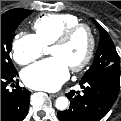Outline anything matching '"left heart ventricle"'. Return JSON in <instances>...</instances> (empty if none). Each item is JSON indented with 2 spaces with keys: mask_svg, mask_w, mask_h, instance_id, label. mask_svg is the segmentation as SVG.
Returning <instances> with one entry per match:
<instances>
[{
  "mask_svg": "<svg viewBox=\"0 0 121 121\" xmlns=\"http://www.w3.org/2000/svg\"><path fill=\"white\" fill-rule=\"evenodd\" d=\"M88 36L84 30L79 31L64 45L51 47V55L61 57L69 67L78 64L85 57L88 49Z\"/></svg>",
  "mask_w": 121,
  "mask_h": 121,
  "instance_id": "1",
  "label": "left heart ventricle"
}]
</instances>
